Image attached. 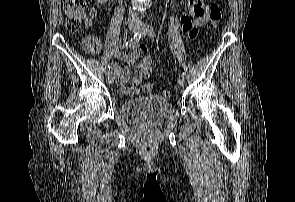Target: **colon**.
I'll list each match as a JSON object with an SVG mask.
<instances>
[{
	"label": "colon",
	"instance_id": "1",
	"mask_svg": "<svg viewBox=\"0 0 295 202\" xmlns=\"http://www.w3.org/2000/svg\"><path fill=\"white\" fill-rule=\"evenodd\" d=\"M63 7L66 15V28L71 32L79 31L85 16L87 0H65ZM221 19V3L215 2L210 6L209 9L210 26L212 28L216 27ZM140 60L142 62L139 64V66H136L138 75L150 74L151 76L152 69L150 65L153 64L151 52H146V56H141ZM142 90H153V83L145 82V85H142ZM161 95L163 98H168L170 96V92L168 90H163Z\"/></svg>",
	"mask_w": 295,
	"mask_h": 202
}]
</instances>
